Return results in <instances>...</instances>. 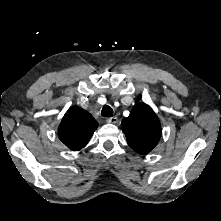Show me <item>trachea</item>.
Returning a JSON list of instances; mask_svg holds the SVG:
<instances>
[{
  "instance_id": "1",
  "label": "trachea",
  "mask_w": 221,
  "mask_h": 221,
  "mask_svg": "<svg viewBox=\"0 0 221 221\" xmlns=\"http://www.w3.org/2000/svg\"><path fill=\"white\" fill-rule=\"evenodd\" d=\"M101 115L103 117H112L113 116V109L110 106L105 105L102 108Z\"/></svg>"
}]
</instances>
